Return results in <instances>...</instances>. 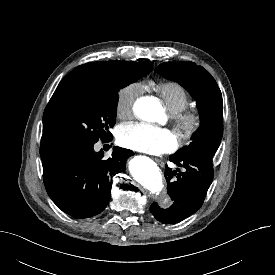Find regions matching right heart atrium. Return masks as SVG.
Masks as SVG:
<instances>
[{
  "label": "right heart atrium",
  "instance_id": "obj_1",
  "mask_svg": "<svg viewBox=\"0 0 275 275\" xmlns=\"http://www.w3.org/2000/svg\"><path fill=\"white\" fill-rule=\"evenodd\" d=\"M143 86L139 82H132L119 89L115 101V110L119 118L125 119L132 115L137 98L142 94Z\"/></svg>",
  "mask_w": 275,
  "mask_h": 275
}]
</instances>
